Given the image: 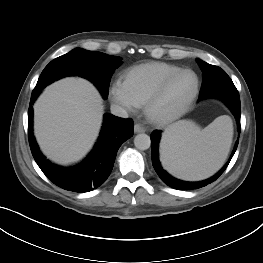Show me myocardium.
<instances>
[{
	"label": "myocardium",
	"mask_w": 263,
	"mask_h": 263,
	"mask_svg": "<svg viewBox=\"0 0 263 263\" xmlns=\"http://www.w3.org/2000/svg\"><path fill=\"white\" fill-rule=\"evenodd\" d=\"M185 72H190L195 76V88L192 92V94L189 96V98L175 111L168 113V114H157L155 111V107L158 103V101L161 99L163 94L165 93L167 87L169 84L179 75ZM200 77L198 73L191 69V68H180L179 70L169 74L167 77H165L159 85L155 88V90L150 94V96L147 98L145 104H144V109H145V114L147 118L154 124L157 125H166L169 124L180 117H182L193 105L195 102L199 91H200Z\"/></svg>",
	"instance_id": "myocardium-1"
}]
</instances>
